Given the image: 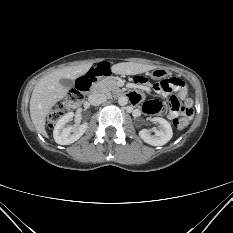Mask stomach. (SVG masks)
Segmentation results:
<instances>
[{"instance_id": "stomach-1", "label": "stomach", "mask_w": 233, "mask_h": 233, "mask_svg": "<svg viewBox=\"0 0 233 233\" xmlns=\"http://www.w3.org/2000/svg\"><path fill=\"white\" fill-rule=\"evenodd\" d=\"M159 72H160L161 74H164V73H165L164 71H159V70H158V71H155L156 74L159 73Z\"/></svg>"}]
</instances>
